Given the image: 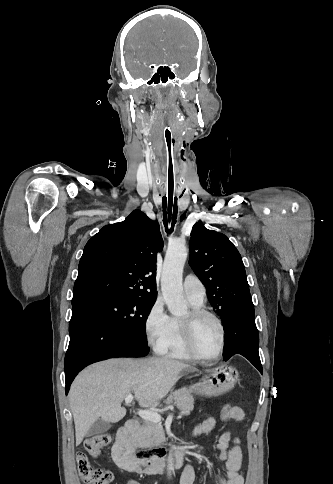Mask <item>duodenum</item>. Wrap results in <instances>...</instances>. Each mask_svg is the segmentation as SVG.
<instances>
[{"mask_svg":"<svg viewBox=\"0 0 333 484\" xmlns=\"http://www.w3.org/2000/svg\"><path fill=\"white\" fill-rule=\"evenodd\" d=\"M139 423L129 419L119 429L114 445V455L118 465L126 471L144 475L156 474L166 467L183 466L188 446L183 444L175 449L140 450L135 454L138 445L133 439Z\"/></svg>","mask_w":333,"mask_h":484,"instance_id":"duodenum-1","label":"duodenum"}]
</instances>
